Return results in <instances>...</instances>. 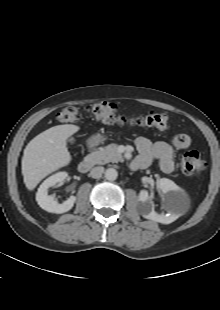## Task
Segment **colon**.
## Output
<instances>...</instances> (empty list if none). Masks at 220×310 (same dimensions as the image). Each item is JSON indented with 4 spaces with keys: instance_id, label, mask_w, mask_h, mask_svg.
I'll list each match as a JSON object with an SVG mask.
<instances>
[{
    "instance_id": "obj_1",
    "label": "colon",
    "mask_w": 220,
    "mask_h": 310,
    "mask_svg": "<svg viewBox=\"0 0 220 310\" xmlns=\"http://www.w3.org/2000/svg\"><path fill=\"white\" fill-rule=\"evenodd\" d=\"M97 119L116 125H132L140 127H153L166 130L170 126V117L165 113L149 111L140 115L125 116L120 113L118 107L109 102H96L87 107ZM80 119V113L76 107L69 106L58 114V120L63 123H73ZM206 167L197 151L186 152L181 160V169L185 174H197Z\"/></svg>"
}]
</instances>
